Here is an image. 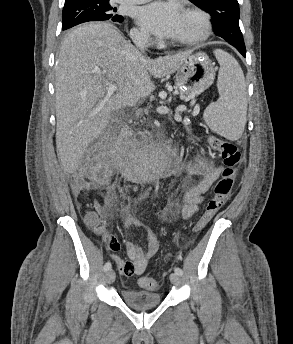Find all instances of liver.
I'll use <instances>...</instances> for the list:
<instances>
[{"mask_svg":"<svg viewBox=\"0 0 293 344\" xmlns=\"http://www.w3.org/2000/svg\"><path fill=\"white\" fill-rule=\"evenodd\" d=\"M191 51L156 59L142 55L112 25L90 23L74 29L61 44L56 68V148L65 173H74L89 144L113 113L149 96L150 76L174 73ZM105 82L117 92L106 93Z\"/></svg>","mask_w":293,"mask_h":344,"instance_id":"1","label":"liver"}]
</instances>
